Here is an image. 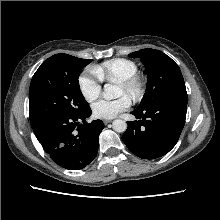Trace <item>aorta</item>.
<instances>
[{
  "mask_svg": "<svg viewBox=\"0 0 220 220\" xmlns=\"http://www.w3.org/2000/svg\"><path fill=\"white\" fill-rule=\"evenodd\" d=\"M118 96V88L112 84L104 85L103 97L106 100L114 99ZM113 130L119 133L125 132L127 129V123L124 120L116 119L112 123Z\"/></svg>",
  "mask_w": 220,
  "mask_h": 220,
  "instance_id": "1",
  "label": "aorta"
}]
</instances>
